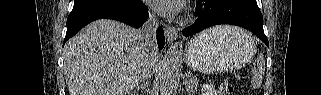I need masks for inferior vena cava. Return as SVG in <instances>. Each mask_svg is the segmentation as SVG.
I'll return each instance as SVG.
<instances>
[{
    "mask_svg": "<svg viewBox=\"0 0 321 95\" xmlns=\"http://www.w3.org/2000/svg\"><path fill=\"white\" fill-rule=\"evenodd\" d=\"M158 26V20L155 14H151L148 20L144 23L142 29L140 30L141 36L143 38L144 44L147 47L149 54L147 61L142 69L140 76V81L149 82L152 73L154 72L153 58L155 51L157 50L156 44V29Z\"/></svg>",
    "mask_w": 321,
    "mask_h": 95,
    "instance_id": "inferior-vena-cava-1",
    "label": "inferior vena cava"
}]
</instances>
